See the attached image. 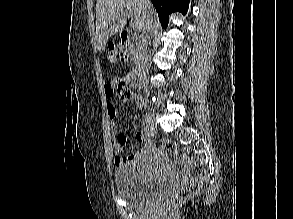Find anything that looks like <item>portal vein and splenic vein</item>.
Here are the masks:
<instances>
[{
	"label": "portal vein and splenic vein",
	"mask_w": 293,
	"mask_h": 219,
	"mask_svg": "<svg viewBox=\"0 0 293 219\" xmlns=\"http://www.w3.org/2000/svg\"><path fill=\"white\" fill-rule=\"evenodd\" d=\"M122 15H124V16H126L128 18H132V15L130 13H123ZM133 28H134V26H133Z\"/></svg>",
	"instance_id": "obj_1"
}]
</instances>
